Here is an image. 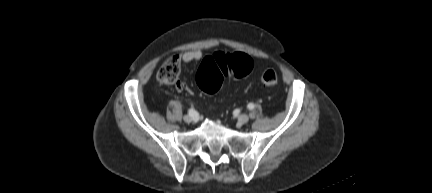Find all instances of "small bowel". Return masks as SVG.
Masks as SVG:
<instances>
[{
    "label": "small bowel",
    "instance_id": "c3829d8e",
    "mask_svg": "<svg viewBox=\"0 0 432 193\" xmlns=\"http://www.w3.org/2000/svg\"><path fill=\"white\" fill-rule=\"evenodd\" d=\"M202 51L201 50H190V51H186L183 55H182V61L186 64L188 63H192V62H196L199 61L202 58ZM177 88L178 89H182L183 88V84L178 82L177 83Z\"/></svg>",
    "mask_w": 432,
    "mask_h": 193
}]
</instances>
